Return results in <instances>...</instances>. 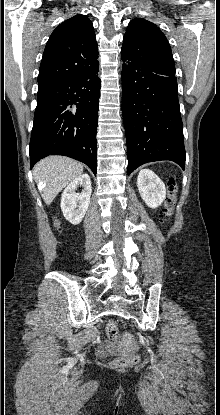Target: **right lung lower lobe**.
<instances>
[{"instance_id": "right-lung-lower-lobe-1", "label": "right lung lower lobe", "mask_w": 220, "mask_h": 415, "mask_svg": "<svg viewBox=\"0 0 220 415\" xmlns=\"http://www.w3.org/2000/svg\"><path fill=\"white\" fill-rule=\"evenodd\" d=\"M98 67L38 92L30 140L31 168L48 155L79 160L97 172Z\"/></svg>"}]
</instances>
